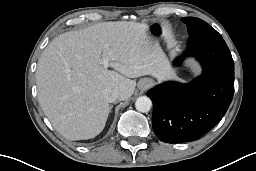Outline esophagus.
I'll return each mask as SVG.
<instances>
[{
  "label": "esophagus",
  "instance_id": "1",
  "mask_svg": "<svg viewBox=\"0 0 256 171\" xmlns=\"http://www.w3.org/2000/svg\"><path fill=\"white\" fill-rule=\"evenodd\" d=\"M149 86H150L149 83H145L143 88L146 89V88H148Z\"/></svg>",
  "mask_w": 256,
  "mask_h": 171
}]
</instances>
